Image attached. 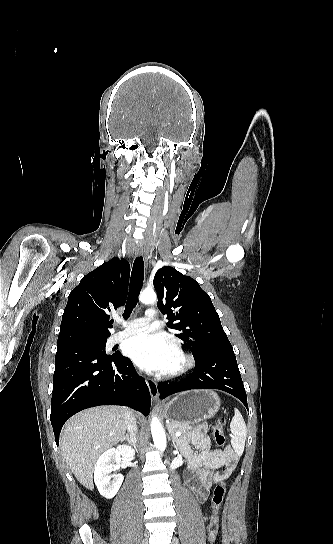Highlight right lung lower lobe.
<instances>
[{
	"instance_id": "1",
	"label": "right lung lower lobe",
	"mask_w": 333,
	"mask_h": 544,
	"mask_svg": "<svg viewBox=\"0 0 333 544\" xmlns=\"http://www.w3.org/2000/svg\"><path fill=\"white\" fill-rule=\"evenodd\" d=\"M92 341L58 347L55 356L51 423L56 444L62 426L77 412L99 405H124L147 416L151 398L131 360L104 357Z\"/></svg>"
}]
</instances>
